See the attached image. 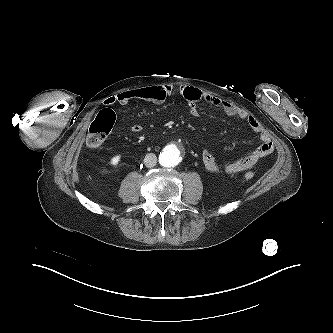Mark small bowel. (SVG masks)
I'll use <instances>...</instances> for the list:
<instances>
[{"instance_id": "1", "label": "small bowel", "mask_w": 333, "mask_h": 333, "mask_svg": "<svg viewBox=\"0 0 333 333\" xmlns=\"http://www.w3.org/2000/svg\"><path fill=\"white\" fill-rule=\"evenodd\" d=\"M179 93L188 103L191 114L197 115V103L205 102L222 110L230 117L246 121L251 130L259 135L261 144L252 153L234 160L224 166L218 165L214 156L208 150H203L202 162L208 172L226 175L237 174L251 169L261 158L270 155L274 151V144L270 135L265 131L261 123L246 110L196 87L183 85L179 88ZM173 94L174 87L172 85L148 86L124 91L117 95L111 96L105 100V105L111 106L115 104H127L133 100L163 103ZM129 129L133 133H138L142 130V127L141 125L134 123L130 125Z\"/></svg>"}]
</instances>
